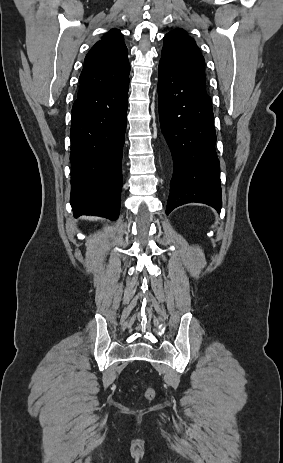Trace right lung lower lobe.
Listing matches in <instances>:
<instances>
[{"instance_id": "1", "label": "right lung lower lobe", "mask_w": 283, "mask_h": 463, "mask_svg": "<svg viewBox=\"0 0 283 463\" xmlns=\"http://www.w3.org/2000/svg\"><path fill=\"white\" fill-rule=\"evenodd\" d=\"M128 86L129 77L74 102L70 202L75 216H119Z\"/></svg>"}]
</instances>
